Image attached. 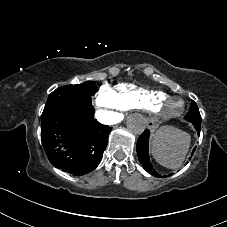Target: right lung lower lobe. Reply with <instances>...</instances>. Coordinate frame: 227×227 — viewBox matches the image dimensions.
<instances>
[{
	"label": "right lung lower lobe",
	"mask_w": 227,
	"mask_h": 227,
	"mask_svg": "<svg viewBox=\"0 0 227 227\" xmlns=\"http://www.w3.org/2000/svg\"><path fill=\"white\" fill-rule=\"evenodd\" d=\"M111 129L94 119L92 105L68 104L42 115L41 141L56 168L84 175L99 165Z\"/></svg>",
	"instance_id": "98d812e1"
}]
</instances>
